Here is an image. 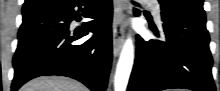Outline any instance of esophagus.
Segmentation results:
<instances>
[{
	"label": "esophagus",
	"instance_id": "esophagus-1",
	"mask_svg": "<svg viewBox=\"0 0 220 91\" xmlns=\"http://www.w3.org/2000/svg\"><path fill=\"white\" fill-rule=\"evenodd\" d=\"M126 8L125 0L114 1V17H113V52L114 56H118L124 41V10Z\"/></svg>",
	"mask_w": 220,
	"mask_h": 91
}]
</instances>
